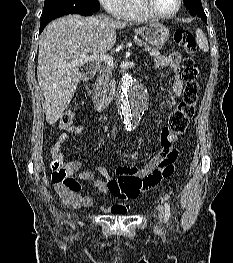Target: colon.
<instances>
[{
  "instance_id": "1",
  "label": "colon",
  "mask_w": 233,
  "mask_h": 263,
  "mask_svg": "<svg viewBox=\"0 0 233 263\" xmlns=\"http://www.w3.org/2000/svg\"><path fill=\"white\" fill-rule=\"evenodd\" d=\"M176 44L188 56L183 64L181 77L185 82L183 99L178 106L171 111L168 118V125L164 128L165 140L172 145L186 131L189 121L195 114L198 103L199 92V69L195 61L190 57L196 52V43L193 35L186 30H177L174 35ZM75 122V114L72 111H66L59 121V127L67 130ZM176 155L171 153L167 159L151 174L144 178L148 185H156L162 179L170 177L174 172V162ZM52 180L54 183H61L65 189H81L75 179L68 176L65 169L56 161L51 164Z\"/></svg>"
}]
</instances>
